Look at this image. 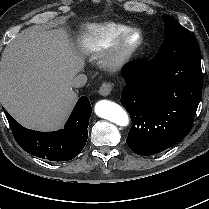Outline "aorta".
<instances>
[{
    "instance_id": "obj_1",
    "label": "aorta",
    "mask_w": 209,
    "mask_h": 209,
    "mask_svg": "<svg viewBox=\"0 0 209 209\" xmlns=\"http://www.w3.org/2000/svg\"><path fill=\"white\" fill-rule=\"evenodd\" d=\"M95 113L119 126H127L129 118L126 111L118 104L109 100H101L95 104Z\"/></svg>"
}]
</instances>
